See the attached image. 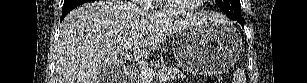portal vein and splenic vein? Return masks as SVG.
I'll return each mask as SVG.
<instances>
[{"label": "portal vein and splenic vein", "instance_id": "1", "mask_svg": "<svg viewBox=\"0 0 307 83\" xmlns=\"http://www.w3.org/2000/svg\"><path fill=\"white\" fill-rule=\"evenodd\" d=\"M132 48V44L131 43H127V45L125 46V51H127L128 49H131ZM125 56H127V58H130V56L126 53H124ZM139 69H140V72L143 76V78L147 81H151L153 80V78L156 76V77H159L161 79H169L168 76L166 75H162V74H157L155 73L153 70H151L149 67L145 66V65H139Z\"/></svg>", "mask_w": 307, "mask_h": 83}]
</instances>
